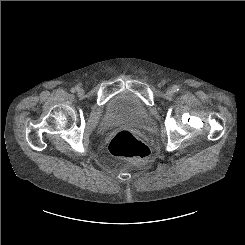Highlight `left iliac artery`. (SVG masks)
I'll use <instances>...</instances> for the list:
<instances>
[{"label": "left iliac artery", "instance_id": "left-iliac-artery-1", "mask_svg": "<svg viewBox=\"0 0 245 245\" xmlns=\"http://www.w3.org/2000/svg\"><path fill=\"white\" fill-rule=\"evenodd\" d=\"M178 91H179V86L174 85V86H173V92H178Z\"/></svg>", "mask_w": 245, "mask_h": 245}]
</instances>
